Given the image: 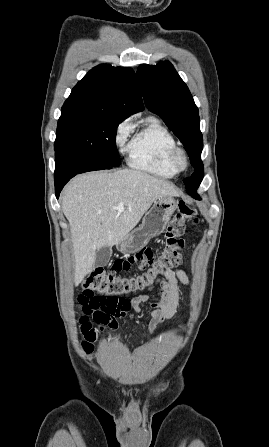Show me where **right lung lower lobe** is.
Here are the masks:
<instances>
[{
    "instance_id": "98d812e1",
    "label": "right lung lower lobe",
    "mask_w": 269,
    "mask_h": 447,
    "mask_svg": "<svg viewBox=\"0 0 269 447\" xmlns=\"http://www.w3.org/2000/svg\"><path fill=\"white\" fill-rule=\"evenodd\" d=\"M55 164L54 179L57 198H59L64 185L76 174L93 170L111 169L113 167L64 155L56 156Z\"/></svg>"
}]
</instances>
